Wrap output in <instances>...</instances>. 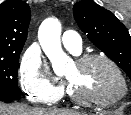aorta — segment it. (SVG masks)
<instances>
[{"mask_svg": "<svg viewBox=\"0 0 131 115\" xmlns=\"http://www.w3.org/2000/svg\"><path fill=\"white\" fill-rule=\"evenodd\" d=\"M61 24L57 19L48 18L39 28L38 38L44 53L52 63L53 70L60 75L65 70L68 56L61 48Z\"/></svg>", "mask_w": 131, "mask_h": 115, "instance_id": "1", "label": "aorta"}]
</instances>
